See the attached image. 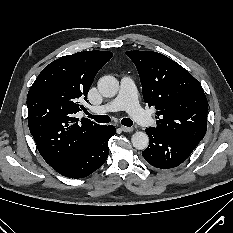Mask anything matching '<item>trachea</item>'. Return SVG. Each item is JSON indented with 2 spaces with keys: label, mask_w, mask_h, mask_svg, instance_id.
<instances>
[{
  "label": "trachea",
  "mask_w": 233,
  "mask_h": 233,
  "mask_svg": "<svg viewBox=\"0 0 233 233\" xmlns=\"http://www.w3.org/2000/svg\"><path fill=\"white\" fill-rule=\"evenodd\" d=\"M86 114L88 115L89 118L94 119L98 123H109L111 121L108 115H92L88 112ZM121 124L130 127L133 125V121L129 118H123L121 120Z\"/></svg>",
  "instance_id": "1"
}]
</instances>
